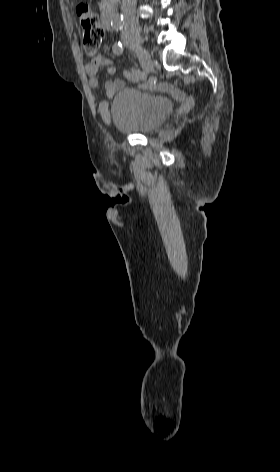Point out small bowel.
<instances>
[{
    "label": "small bowel",
    "instance_id": "c3829d8e",
    "mask_svg": "<svg viewBox=\"0 0 280 472\" xmlns=\"http://www.w3.org/2000/svg\"><path fill=\"white\" fill-rule=\"evenodd\" d=\"M105 67L107 73L112 76L116 73V68L113 65L112 61L101 55L98 54L92 57L89 61H87L84 65L85 72L88 75V84L89 87L92 89L97 88L98 86V78L97 72L99 68ZM126 77L129 81L135 82L137 79L134 77L132 72L126 73ZM124 85V82L119 79H111L105 83V92L108 98H112L118 90H120ZM162 90H171L172 88L167 84H162L160 86ZM99 113L104 120H108L110 117L109 112V104L107 100H102L98 107Z\"/></svg>",
    "mask_w": 280,
    "mask_h": 472
}]
</instances>
